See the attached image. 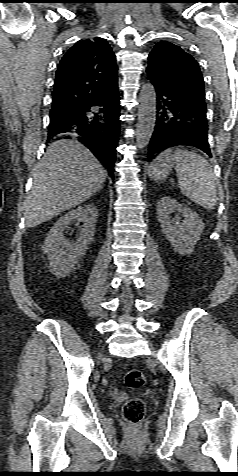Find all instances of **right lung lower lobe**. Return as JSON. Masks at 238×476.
Returning <instances> with one entry per match:
<instances>
[{
  "label": "right lung lower lobe",
  "instance_id": "98d812e1",
  "mask_svg": "<svg viewBox=\"0 0 238 476\" xmlns=\"http://www.w3.org/2000/svg\"><path fill=\"white\" fill-rule=\"evenodd\" d=\"M97 108L96 111H92ZM120 104L118 86L94 100L71 116L60 122H50L49 138L61 133H71L84 144L108 169L113 177L116 147L120 133ZM78 135V136H75Z\"/></svg>",
  "mask_w": 238,
  "mask_h": 476
}]
</instances>
